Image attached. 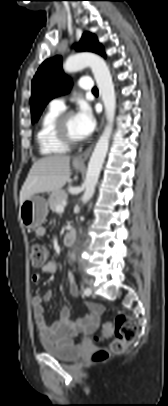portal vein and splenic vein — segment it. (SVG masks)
<instances>
[{"label": "portal vein and splenic vein", "mask_w": 168, "mask_h": 406, "mask_svg": "<svg viewBox=\"0 0 168 406\" xmlns=\"http://www.w3.org/2000/svg\"><path fill=\"white\" fill-rule=\"evenodd\" d=\"M65 205H66V203H64V204H62V205H57V206H56V211H57V212H63Z\"/></svg>", "instance_id": "portal-vein-and-splenic-vein-1"}]
</instances>
